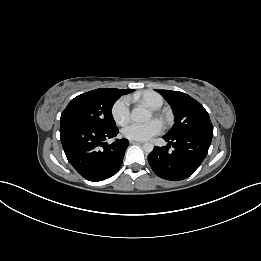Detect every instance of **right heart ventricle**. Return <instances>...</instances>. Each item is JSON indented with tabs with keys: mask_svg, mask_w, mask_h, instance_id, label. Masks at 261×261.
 Listing matches in <instances>:
<instances>
[{
	"mask_svg": "<svg viewBox=\"0 0 261 261\" xmlns=\"http://www.w3.org/2000/svg\"><path fill=\"white\" fill-rule=\"evenodd\" d=\"M137 98L153 109H157L163 104V98L153 91H145L138 95Z\"/></svg>",
	"mask_w": 261,
	"mask_h": 261,
	"instance_id": "e07e8e85",
	"label": "right heart ventricle"
}]
</instances>
